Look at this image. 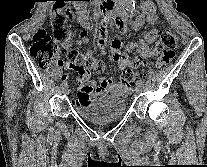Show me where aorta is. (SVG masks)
Here are the masks:
<instances>
[{
  "label": "aorta",
  "instance_id": "762f6f07",
  "mask_svg": "<svg viewBox=\"0 0 207 167\" xmlns=\"http://www.w3.org/2000/svg\"><path fill=\"white\" fill-rule=\"evenodd\" d=\"M126 10L130 13H134L135 11V1L134 0H120Z\"/></svg>",
  "mask_w": 207,
  "mask_h": 167
}]
</instances>
